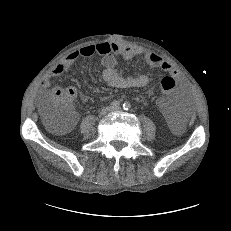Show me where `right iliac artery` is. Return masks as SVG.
I'll return each mask as SVG.
<instances>
[{
	"instance_id": "obj_1",
	"label": "right iliac artery",
	"mask_w": 231,
	"mask_h": 231,
	"mask_svg": "<svg viewBox=\"0 0 231 231\" xmlns=\"http://www.w3.org/2000/svg\"><path fill=\"white\" fill-rule=\"evenodd\" d=\"M119 106V102L118 101H113L112 103H111V107L112 108H115V107H118Z\"/></svg>"
}]
</instances>
